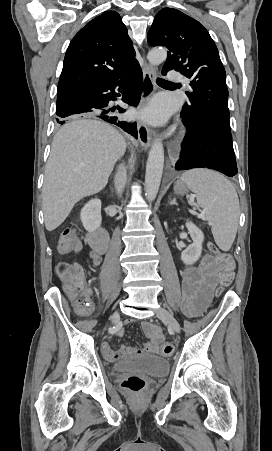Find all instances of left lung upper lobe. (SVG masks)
<instances>
[{
    "label": "left lung upper lobe",
    "instance_id": "obj_1",
    "mask_svg": "<svg viewBox=\"0 0 272 451\" xmlns=\"http://www.w3.org/2000/svg\"><path fill=\"white\" fill-rule=\"evenodd\" d=\"M152 46L168 49L163 70L175 69L191 79L189 102L182 119H214L230 129L225 69L208 31L195 19L173 8L155 16L147 35Z\"/></svg>",
    "mask_w": 272,
    "mask_h": 451
}]
</instances>
